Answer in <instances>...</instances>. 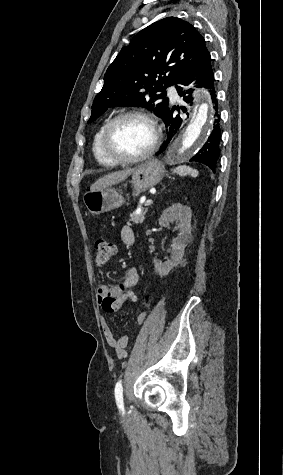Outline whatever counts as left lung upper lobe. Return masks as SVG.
<instances>
[{
    "label": "left lung upper lobe",
    "mask_w": 283,
    "mask_h": 475,
    "mask_svg": "<svg viewBox=\"0 0 283 475\" xmlns=\"http://www.w3.org/2000/svg\"><path fill=\"white\" fill-rule=\"evenodd\" d=\"M209 58L204 38L189 22L167 17L149 25L107 69L88 122L114 106L145 107L162 116L168 108L165 89Z\"/></svg>",
    "instance_id": "1"
}]
</instances>
